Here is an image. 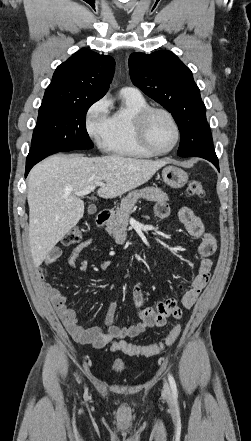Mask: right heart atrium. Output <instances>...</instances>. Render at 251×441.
I'll list each match as a JSON object with an SVG mask.
<instances>
[{
	"instance_id": "obj_1",
	"label": "right heart atrium",
	"mask_w": 251,
	"mask_h": 441,
	"mask_svg": "<svg viewBox=\"0 0 251 441\" xmlns=\"http://www.w3.org/2000/svg\"><path fill=\"white\" fill-rule=\"evenodd\" d=\"M109 102L103 97L95 101L85 115V129L89 137L100 148H105L109 127Z\"/></svg>"
}]
</instances>
